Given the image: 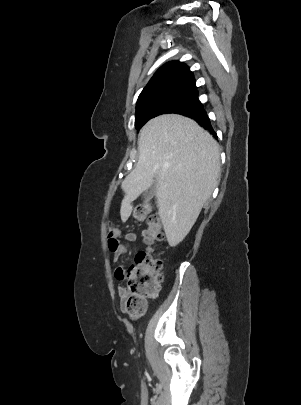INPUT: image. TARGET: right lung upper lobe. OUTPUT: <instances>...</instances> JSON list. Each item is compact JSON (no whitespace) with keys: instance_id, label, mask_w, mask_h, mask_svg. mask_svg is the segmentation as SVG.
Masks as SVG:
<instances>
[{"instance_id":"1","label":"right lung upper lobe","mask_w":301,"mask_h":405,"mask_svg":"<svg viewBox=\"0 0 301 405\" xmlns=\"http://www.w3.org/2000/svg\"><path fill=\"white\" fill-rule=\"evenodd\" d=\"M174 89L197 91L193 73L179 61L168 62L158 69L139 95L137 103L151 95Z\"/></svg>"}]
</instances>
